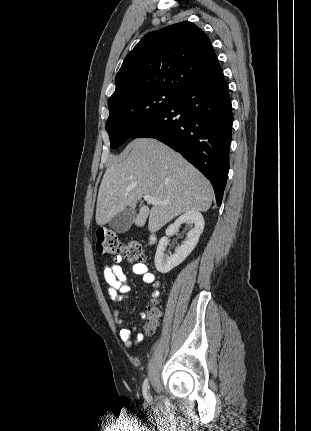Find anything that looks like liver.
<instances>
[{
  "instance_id": "liver-1",
  "label": "liver",
  "mask_w": 311,
  "mask_h": 431,
  "mask_svg": "<svg viewBox=\"0 0 311 431\" xmlns=\"http://www.w3.org/2000/svg\"><path fill=\"white\" fill-rule=\"evenodd\" d=\"M122 160L108 166L100 184L95 219L105 225L127 208L135 210L140 202L135 225L143 227L148 219L149 231H158L183 212H207L213 190L192 164L165 144L152 138H138L126 146ZM143 196H152L166 206L142 204Z\"/></svg>"
}]
</instances>
